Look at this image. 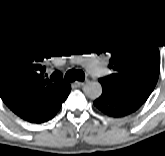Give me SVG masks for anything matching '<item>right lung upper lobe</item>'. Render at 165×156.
<instances>
[{
	"label": "right lung upper lobe",
	"mask_w": 165,
	"mask_h": 156,
	"mask_svg": "<svg viewBox=\"0 0 165 156\" xmlns=\"http://www.w3.org/2000/svg\"><path fill=\"white\" fill-rule=\"evenodd\" d=\"M52 38L49 31H35L0 44V97L26 121L53 109L71 89L59 71L45 73Z\"/></svg>",
	"instance_id": "obj_1"
}]
</instances>
